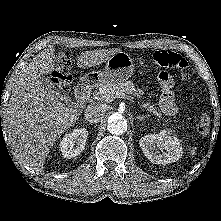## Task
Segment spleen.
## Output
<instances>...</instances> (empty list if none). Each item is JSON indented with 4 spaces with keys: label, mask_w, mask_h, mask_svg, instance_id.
I'll use <instances>...</instances> for the list:
<instances>
[{
    "label": "spleen",
    "mask_w": 221,
    "mask_h": 221,
    "mask_svg": "<svg viewBox=\"0 0 221 221\" xmlns=\"http://www.w3.org/2000/svg\"><path fill=\"white\" fill-rule=\"evenodd\" d=\"M194 154H195V150H194V148H192L191 155H194Z\"/></svg>",
    "instance_id": "obj_1"
}]
</instances>
